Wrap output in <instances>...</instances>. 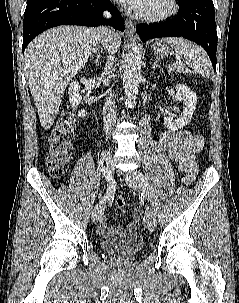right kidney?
Instances as JSON below:
<instances>
[{"mask_svg": "<svg viewBox=\"0 0 239 303\" xmlns=\"http://www.w3.org/2000/svg\"><path fill=\"white\" fill-rule=\"evenodd\" d=\"M80 91V85L77 81H73L70 83L68 87V95H69V102L72 105V108H77V106L80 104L82 97L79 95ZM86 111L81 110L78 112V117H85Z\"/></svg>", "mask_w": 239, "mask_h": 303, "instance_id": "ca27d5eb", "label": "right kidney"}]
</instances>
